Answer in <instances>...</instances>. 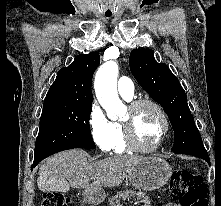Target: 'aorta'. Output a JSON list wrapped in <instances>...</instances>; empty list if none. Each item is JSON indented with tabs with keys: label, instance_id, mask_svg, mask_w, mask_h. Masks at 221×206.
<instances>
[{
	"label": "aorta",
	"instance_id": "aorta-1",
	"mask_svg": "<svg viewBox=\"0 0 221 206\" xmlns=\"http://www.w3.org/2000/svg\"><path fill=\"white\" fill-rule=\"evenodd\" d=\"M118 65L115 61L104 63L97 71L94 88L97 99L111 120H117L125 110L117 92Z\"/></svg>",
	"mask_w": 221,
	"mask_h": 206
}]
</instances>
